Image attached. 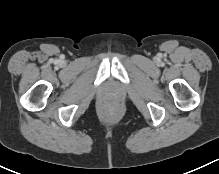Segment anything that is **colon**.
Instances as JSON below:
<instances>
[{
  "label": "colon",
  "mask_w": 219,
  "mask_h": 174,
  "mask_svg": "<svg viewBox=\"0 0 219 174\" xmlns=\"http://www.w3.org/2000/svg\"><path fill=\"white\" fill-rule=\"evenodd\" d=\"M106 110L110 112L112 110V107L109 106L106 108Z\"/></svg>",
  "instance_id": "colon-1"
}]
</instances>
